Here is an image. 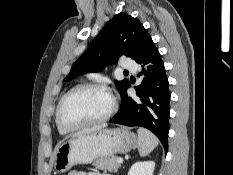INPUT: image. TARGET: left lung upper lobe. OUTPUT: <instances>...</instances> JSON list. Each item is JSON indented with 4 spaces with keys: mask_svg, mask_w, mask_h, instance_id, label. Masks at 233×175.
<instances>
[{
    "mask_svg": "<svg viewBox=\"0 0 233 175\" xmlns=\"http://www.w3.org/2000/svg\"><path fill=\"white\" fill-rule=\"evenodd\" d=\"M154 44L142 23L126 13H119L108 21L86 52L74 63L64 81H70L87 72L101 71L125 55L138 61ZM122 94L129 81L115 82Z\"/></svg>",
    "mask_w": 233,
    "mask_h": 175,
    "instance_id": "obj_1",
    "label": "left lung upper lobe"
}]
</instances>
